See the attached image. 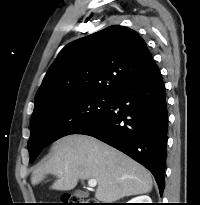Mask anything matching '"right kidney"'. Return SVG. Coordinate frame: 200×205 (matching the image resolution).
<instances>
[{"label":"right kidney","instance_id":"1","mask_svg":"<svg viewBox=\"0 0 200 205\" xmlns=\"http://www.w3.org/2000/svg\"><path fill=\"white\" fill-rule=\"evenodd\" d=\"M128 203H152V200L148 195H142L132 198Z\"/></svg>","mask_w":200,"mask_h":205}]
</instances>
